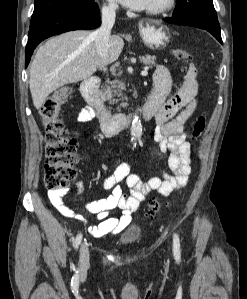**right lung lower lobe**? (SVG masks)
<instances>
[{
    "mask_svg": "<svg viewBox=\"0 0 247 299\" xmlns=\"http://www.w3.org/2000/svg\"><path fill=\"white\" fill-rule=\"evenodd\" d=\"M100 13L96 3L70 8L56 13L30 27L25 52V67L36 46L44 39L77 29H94L100 26Z\"/></svg>",
    "mask_w": 247,
    "mask_h": 299,
    "instance_id": "98d812e1",
    "label": "right lung lower lobe"
}]
</instances>
